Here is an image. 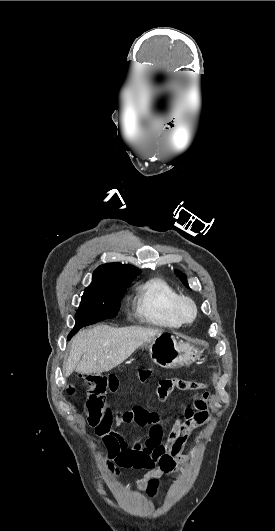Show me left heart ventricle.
<instances>
[{"mask_svg": "<svg viewBox=\"0 0 275 531\" xmlns=\"http://www.w3.org/2000/svg\"><path fill=\"white\" fill-rule=\"evenodd\" d=\"M180 313L185 318H191L193 315V308L190 303L182 302L180 305Z\"/></svg>", "mask_w": 275, "mask_h": 531, "instance_id": "b2bd125f", "label": "left heart ventricle"}]
</instances>
